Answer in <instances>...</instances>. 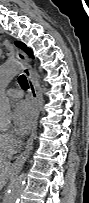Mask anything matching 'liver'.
I'll list each match as a JSON object with an SVG mask.
<instances>
[{
    "label": "liver",
    "instance_id": "obj_1",
    "mask_svg": "<svg viewBox=\"0 0 89 203\" xmlns=\"http://www.w3.org/2000/svg\"><path fill=\"white\" fill-rule=\"evenodd\" d=\"M12 164L9 161L2 160L0 162V187L3 188L6 184L5 180L10 173Z\"/></svg>",
    "mask_w": 89,
    "mask_h": 203
}]
</instances>
